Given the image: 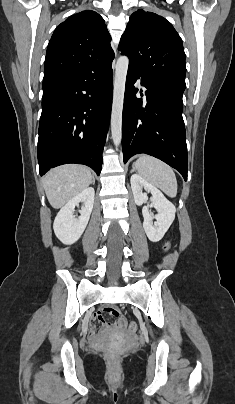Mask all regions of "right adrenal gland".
<instances>
[{
    "label": "right adrenal gland",
    "instance_id": "2a0ac1e0",
    "mask_svg": "<svg viewBox=\"0 0 235 404\" xmlns=\"http://www.w3.org/2000/svg\"><path fill=\"white\" fill-rule=\"evenodd\" d=\"M92 184L94 185L95 184V178L93 177V180H92Z\"/></svg>",
    "mask_w": 235,
    "mask_h": 404
}]
</instances>
